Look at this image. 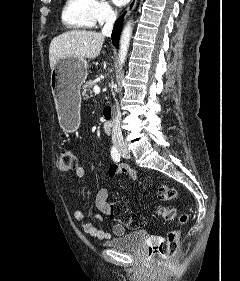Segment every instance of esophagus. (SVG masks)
Wrapping results in <instances>:
<instances>
[{
  "instance_id": "34e87169",
  "label": "esophagus",
  "mask_w": 240,
  "mask_h": 281,
  "mask_svg": "<svg viewBox=\"0 0 240 281\" xmlns=\"http://www.w3.org/2000/svg\"><path fill=\"white\" fill-rule=\"evenodd\" d=\"M137 0H131L130 4L127 7V14L131 12L136 6Z\"/></svg>"
}]
</instances>
